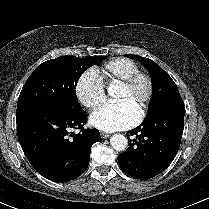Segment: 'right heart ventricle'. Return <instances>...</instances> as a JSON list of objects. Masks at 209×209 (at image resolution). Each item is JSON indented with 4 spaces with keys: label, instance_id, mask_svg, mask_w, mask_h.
Returning <instances> with one entry per match:
<instances>
[{
    "label": "right heart ventricle",
    "instance_id": "obj_1",
    "mask_svg": "<svg viewBox=\"0 0 209 209\" xmlns=\"http://www.w3.org/2000/svg\"><path fill=\"white\" fill-rule=\"evenodd\" d=\"M139 70L136 62L128 58H115L96 69V74L106 86H115Z\"/></svg>",
    "mask_w": 209,
    "mask_h": 209
}]
</instances>
